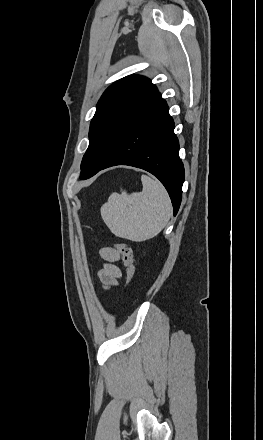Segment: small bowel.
I'll return each instance as SVG.
<instances>
[{
    "label": "small bowel",
    "instance_id": "c3829d8e",
    "mask_svg": "<svg viewBox=\"0 0 263 440\" xmlns=\"http://www.w3.org/2000/svg\"><path fill=\"white\" fill-rule=\"evenodd\" d=\"M99 254L105 264L98 272V277L105 288H110L118 283V280L122 277L120 268L115 265V262L119 261V252L112 247H104L99 250Z\"/></svg>",
    "mask_w": 263,
    "mask_h": 440
}]
</instances>
